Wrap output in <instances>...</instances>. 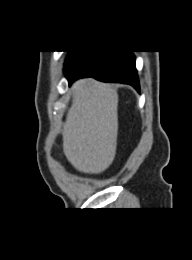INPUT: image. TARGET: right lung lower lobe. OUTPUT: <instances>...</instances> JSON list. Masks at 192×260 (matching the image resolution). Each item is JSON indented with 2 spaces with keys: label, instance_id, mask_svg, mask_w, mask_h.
I'll return each mask as SVG.
<instances>
[{
  "label": "right lung lower lobe",
  "instance_id": "obj_1",
  "mask_svg": "<svg viewBox=\"0 0 192 260\" xmlns=\"http://www.w3.org/2000/svg\"><path fill=\"white\" fill-rule=\"evenodd\" d=\"M69 84L76 79L93 77L103 82H117L140 91L135 56L132 51H86L66 69Z\"/></svg>",
  "mask_w": 192,
  "mask_h": 260
}]
</instances>
